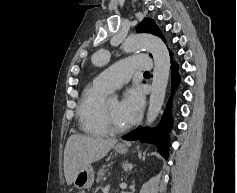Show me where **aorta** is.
I'll use <instances>...</instances> for the list:
<instances>
[{
    "instance_id": "1",
    "label": "aorta",
    "mask_w": 237,
    "mask_h": 193,
    "mask_svg": "<svg viewBox=\"0 0 237 193\" xmlns=\"http://www.w3.org/2000/svg\"><path fill=\"white\" fill-rule=\"evenodd\" d=\"M123 48L126 52L147 49L154 59V71L146 125H151L159 115L164 103L166 87L170 74V55L164 42L157 36L141 33L129 36Z\"/></svg>"
}]
</instances>
